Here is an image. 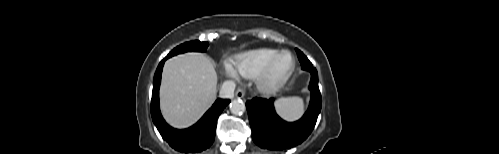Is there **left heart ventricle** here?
Masks as SVG:
<instances>
[{
    "instance_id": "left-heart-ventricle-1",
    "label": "left heart ventricle",
    "mask_w": 499,
    "mask_h": 154,
    "mask_svg": "<svg viewBox=\"0 0 499 154\" xmlns=\"http://www.w3.org/2000/svg\"><path fill=\"white\" fill-rule=\"evenodd\" d=\"M288 67L287 57H281L275 64V72L280 73Z\"/></svg>"
}]
</instances>
